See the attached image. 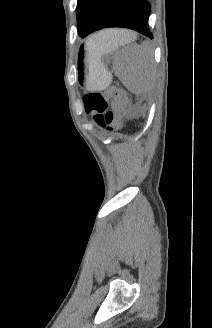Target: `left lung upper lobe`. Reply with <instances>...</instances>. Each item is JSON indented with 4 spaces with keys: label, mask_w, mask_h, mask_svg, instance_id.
<instances>
[{
    "label": "left lung upper lobe",
    "mask_w": 212,
    "mask_h": 328,
    "mask_svg": "<svg viewBox=\"0 0 212 328\" xmlns=\"http://www.w3.org/2000/svg\"><path fill=\"white\" fill-rule=\"evenodd\" d=\"M105 0H78L77 21L78 33L84 38L92 28L99 10Z\"/></svg>",
    "instance_id": "1"
}]
</instances>
